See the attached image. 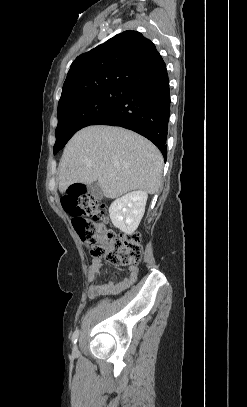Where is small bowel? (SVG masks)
Listing matches in <instances>:
<instances>
[{
	"instance_id": "obj_1",
	"label": "small bowel",
	"mask_w": 247,
	"mask_h": 407,
	"mask_svg": "<svg viewBox=\"0 0 247 407\" xmlns=\"http://www.w3.org/2000/svg\"><path fill=\"white\" fill-rule=\"evenodd\" d=\"M102 262L98 258H94L89 266L88 280L90 282L89 295L90 297H98L103 294H117L129 288L138 277V268L136 266L129 268V276L119 282L109 281L106 284H94V280L100 273Z\"/></svg>"
}]
</instances>
